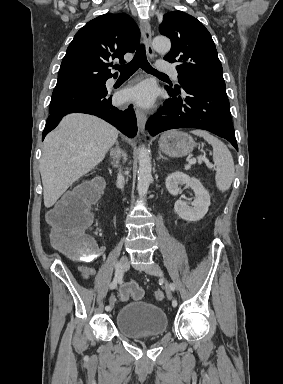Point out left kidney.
Instances as JSON below:
<instances>
[{
	"label": "left kidney",
	"mask_w": 283,
	"mask_h": 384,
	"mask_svg": "<svg viewBox=\"0 0 283 384\" xmlns=\"http://www.w3.org/2000/svg\"><path fill=\"white\" fill-rule=\"evenodd\" d=\"M183 184H186V188H191V190L195 192L196 198L191 202V206H188L183 200H177L174 210L182 220H186V222H198V220H202L208 212L211 204L210 196L199 180L190 178L187 174L173 172V174H169L168 178H166V188L172 196H178L181 190L179 186H183Z\"/></svg>",
	"instance_id": "obj_1"
}]
</instances>
